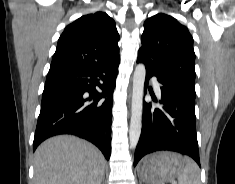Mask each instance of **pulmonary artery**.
I'll return each instance as SVG.
<instances>
[{
	"mask_svg": "<svg viewBox=\"0 0 235 184\" xmlns=\"http://www.w3.org/2000/svg\"><path fill=\"white\" fill-rule=\"evenodd\" d=\"M152 80H153V84L156 88L157 93L160 94V84H159V82L157 81L156 78H153Z\"/></svg>",
	"mask_w": 235,
	"mask_h": 184,
	"instance_id": "pulmonary-artery-1",
	"label": "pulmonary artery"
}]
</instances>
